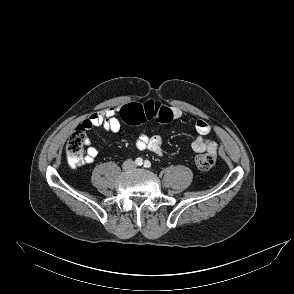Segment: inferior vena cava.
<instances>
[{"label":"inferior vena cava","mask_w":294,"mask_h":294,"mask_svg":"<svg viewBox=\"0 0 294 294\" xmlns=\"http://www.w3.org/2000/svg\"><path fill=\"white\" fill-rule=\"evenodd\" d=\"M134 166H135V162L132 160H126L123 163V169H125V170L132 169Z\"/></svg>","instance_id":"1"}]
</instances>
